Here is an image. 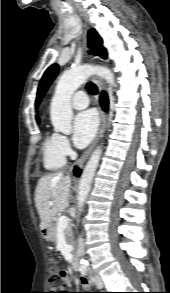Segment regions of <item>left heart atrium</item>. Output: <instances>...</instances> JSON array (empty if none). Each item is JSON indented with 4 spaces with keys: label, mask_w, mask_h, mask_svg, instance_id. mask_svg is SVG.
Here are the masks:
<instances>
[{
    "label": "left heart atrium",
    "mask_w": 170,
    "mask_h": 293,
    "mask_svg": "<svg viewBox=\"0 0 170 293\" xmlns=\"http://www.w3.org/2000/svg\"><path fill=\"white\" fill-rule=\"evenodd\" d=\"M98 127L97 115L88 110L78 114L73 121L72 139L78 148H84L95 136Z\"/></svg>",
    "instance_id": "obj_1"
}]
</instances>
